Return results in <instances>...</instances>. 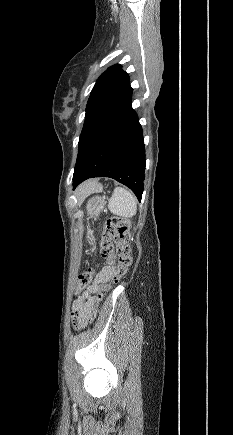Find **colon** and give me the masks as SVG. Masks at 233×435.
Masks as SVG:
<instances>
[{
  "instance_id": "5ec220e1",
  "label": "colon",
  "mask_w": 233,
  "mask_h": 435,
  "mask_svg": "<svg viewBox=\"0 0 233 435\" xmlns=\"http://www.w3.org/2000/svg\"><path fill=\"white\" fill-rule=\"evenodd\" d=\"M130 226L131 221L129 219L118 216L108 218L103 225L100 242L101 256L105 260V264L114 267L115 271L109 282L102 283L101 289L96 295V305L88 309L87 317L89 320L95 318L97 304L103 298L104 293L111 288L112 284L118 283L121 278L125 277L132 265L131 246L127 242ZM97 270L98 266H94L79 276L81 288L90 285Z\"/></svg>"
}]
</instances>
